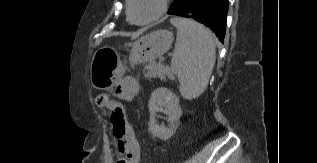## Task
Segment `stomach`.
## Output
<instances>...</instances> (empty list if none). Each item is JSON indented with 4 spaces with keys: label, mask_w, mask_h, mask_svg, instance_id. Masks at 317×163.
Wrapping results in <instances>:
<instances>
[{
    "label": "stomach",
    "mask_w": 317,
    "mask_h": 163,
    "mask_svg": "<svg viewBox=\"0 0 317 163\" xmlns=\"http://www.w3.org/2000/svg\"><path fill=\"white\" fill-rule=\"evenodd\" d=\"M173 40V34L168 30H157L142 36L132 45L130 64L155 60L169 50ZM124 73L125 65L114 49L102 47L94 53L90 67L94 88L109 90Z\"/></svg>",
    "instance_id": "0dacf381"
}]
</instances>
